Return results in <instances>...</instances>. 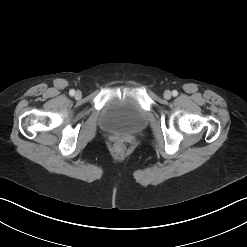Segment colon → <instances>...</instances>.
I'll use <instances>...</instances> for the list:
<instances>
[{
  "label": "colon",
  "mask_w": 247,
  "mask_h": 247,
  "mask_svg": "<svg viewBox=\"0 0 247 247\" xmlns=\"http://www.w3.org/2000/svg\"><path fill=\"white\" fill-rule=\"evenodd\" d=\"M115 151L119 155H123L124 153V147L121 144H118L115 148Z\"/></svg>",
  "instance_id": "obj_1"
}]
</instances>
